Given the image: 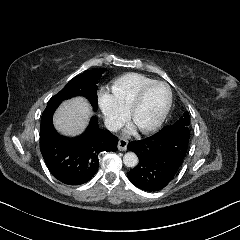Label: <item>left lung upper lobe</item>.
<instances>
[{
	"label": "left lung upper lobe",
	"instance_id": "left-lung-upper-lobe-1",
	"mask_svg": "<svg viewBox=\"0 0 240 240\" xmlns=\"http://www.w3.org/2000/svg\"><path fill=\"white\" fill-rule=\"evenodd\" d=\"M190 116L188 112H185L179 120L170 126H165L164 128L177 129L190 134L189 130Z\"/></svg>",
	"mask_w": 240,
	"mask_h": 240
}]
</instances>
